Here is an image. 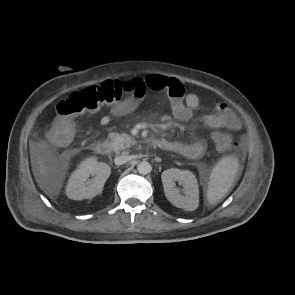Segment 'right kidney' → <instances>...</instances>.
Returning a JSON list of instances; mask_svg holds the SVG:
<instances>
[{
    "label": "right kidney",
    "mask_w": 295,
    "mask_h": 295,
    "mask_svg": "<svg viewBox=\"0 0 295 295\" xmlns=\"http://www.w3.org/2000/svg\"><path fill=\"white\" fill-rule=\"evenodd\" d=\"M111 174V168L95 157L85 159L71 174L66 195L73 200L92 199L102 192L104 184ZM90 175L94 176L89 179Z\"/></svg>",
    "instance_id": "ca27d5eb"
}]
</instances>
